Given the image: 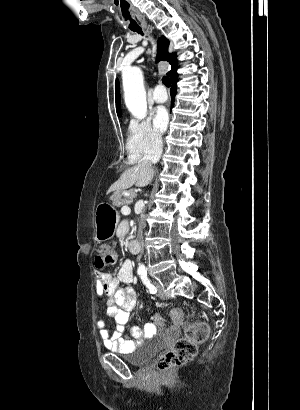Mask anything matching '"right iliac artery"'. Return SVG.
Instances as JSON below:
<instances>
[{"label": "right iliac artery", "instance_id": "1", "mask_svg": "<svg viewBox=\"0 0 300 410\" xmlns=\"http://www.w3.org/2000/svg\"><path fill=\"white\" fill-rule=\"evenodd\" d=\"M139 274L141 275V274H143V272H140Z\"/></svg>", "mask_w": 300, "mask_h": 410}]
</instances>
